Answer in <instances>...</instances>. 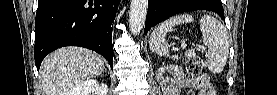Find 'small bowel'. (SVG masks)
<instances>
[{"mask_svg": "<svg viewBox=\"0 0 277 95\" xmlns=\"http://www.w3.org/2000/svg\"><path fill=\"white\" fill-rule=\"evenodd\" d=\"M177 76L185 80V88H193L197 91V95H212L210 93L211 83L206 76H196L191 80H186V77L183 72H178Z\"/></svg>", "mask_w": 277, "mask_h": 95, "instance_id": "1", "label": "small bowel"}]
</instances>
